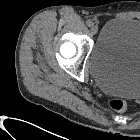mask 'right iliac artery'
<instances>
[{"instance_id": "obj_1", "label": "right iliac artery", "mask_w": 140, "mask_h": 140, "mask_svg": "<svg viewBox=\"0 0 140 140\" xmlns=\"http://www.w3.org/2000/svg\"><path fill=\"white\" fill-rule=\"evenodd\" d=\"M86 24H87L89 27H91L94 23H93L92 20H87Z\"/></svg>"}]
</instances>
